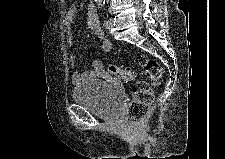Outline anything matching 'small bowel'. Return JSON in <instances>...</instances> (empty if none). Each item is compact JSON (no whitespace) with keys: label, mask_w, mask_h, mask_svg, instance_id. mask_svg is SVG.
I'll return each instance as SVG.
<instances>
[{"label":"small bowel","mask_w":225,"mask_h":159,"mask_svg":"<svg viewBox=\"0 0 225 159\" xmlns=\"http://www.w3.org/2000/svg\"><path fill=\"white\" fill-rule=\"evenodd\" d=\"M78 13V7L76 5H71L67 10L65 16L66 25V41L69 47L73 44V36L70 30L72 23L74 22ZM86 26L87 28L100 40L101 50L107 53L111 50L110 41L104 36L102 29L99 24L98 15L96 7L94 4L90 3L86 10ZM71 66L77 65V60L75 56L71 55L69 59ZM93 79H106L112 81V77L106 72L104 65L100 59H94L91 63V68L84 72H74L72 74V81L74 84H81L85 81Z\"/></svg>","instance_id":"obj_1"}]
</instances>
